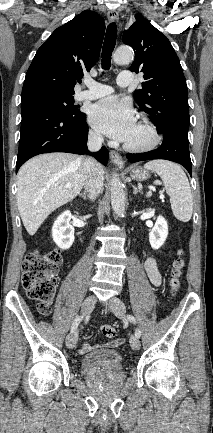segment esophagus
I'll return each instance as SVG.
<instances>
[{
	"instance_id": "1",
	"label": "esophagus",
	"mask_w": 213,
	"mask_h": 433,
	"mask_svg": "<svg viewBox=\"0 0 213 433\" xmlns=\"http://www.w3.org/2000/svg\"><path fill=\"white\" fill-rule=\"evenodd\" d=\"M107 17H108V20L110 22H117L119 19V14L116 10H109L107 13ZM110 159H111V162L114 163L115 165H117L119 167L124 166V162H123L122 157L116 151H113V150L110 151Z\"/></svg>"
}]
</instances>
